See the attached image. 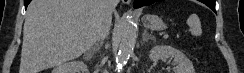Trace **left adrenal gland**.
Returning <instances> with one entry per match:
<instances>
[{"label": "left adrenal gland", "instance_id": "a2214340", "mask_svg": "<svg viewBox=\"0 0 244 73\" xmlns=\"http://www.w3.org/2000/svg\"><path fill=\"white\" fill-rule=\"evenodd\" d=\"M149 39H151V40H155V37H154L153 35H150V34L148 33V31L145 29V30H144V33H143V35H142V41H143V42H146V41H148Z\"/></svg>", "mask_w": 244, "mask_h": 73}]
</instances>
